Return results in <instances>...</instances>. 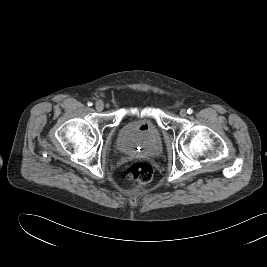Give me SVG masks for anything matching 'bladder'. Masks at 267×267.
Masks as SVG:
<instances>
[{"mask_svg":"<svg viewBox=\"0 0 267 267\" xmlns=\"http://www.w3.org/2000/svg\"><path fill=\"white\" fill-rule=\"evenodd\" d=\"M146 125L143 129L141 126ZM116 145L125 155L157 157L163 150L161 133L150 117L129 118L119 128Z\"/></svg>","mask_w":267,"mask_h":267,"instance_id":"1","label":"bladder"}]
</instances>
